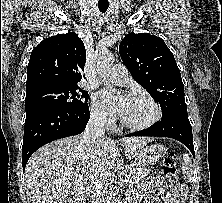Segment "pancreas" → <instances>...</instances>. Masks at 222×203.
<instances>
[{
    "mask_svg": "<svg viewBox=\"0 0 222 203\" xmlns=\"http://www.w3.org/2000/svg\"><path fill=\"white\" fill-rule=\"evenodd\" d=\"M130 183H138L150 172V169L143 168L140 164L132 163L126 168Z\"/></svg>",
    "mask_w": 222,
    "mask_h": 203,
    "instance_id": "1",
    "label": "pancreas"
}]
</instances>
